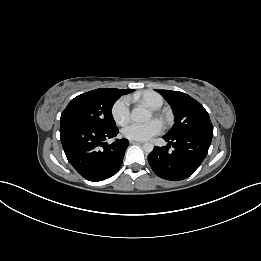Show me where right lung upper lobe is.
<instances>
[{"label":"right lung upper lobe","mask_w":261,"mask_h":261,"mask_svg":"<svg viewBox=\"0 0 261 261\" xmlns=\"http://www.w3.org/2000/svg\"><path fill=\"white\" fill-rule=\"evenodd\" d=\"M122 92H124V94H126V93H128V92H131L132 91V89H120Z\"/></svg>","instance_id":"right-lung-upper-lobe-1"}]
</instances>
